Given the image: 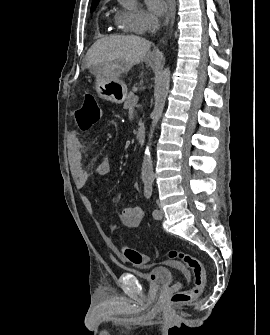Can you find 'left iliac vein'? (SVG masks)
I'll list each match as a JSON object with an SVG mask.
<instances>
[{
  "instance_id": "left-iliac-vein-1",
  "label": "left iliac vein",
  "mask_w": 270,
  "mask_h": 335,
  "mask_svg": "<svg viewBox=\"0 0 270 335\" xmlns=\"http://www.w3.org/2000/svg\"><path fill=\"white\" fill-rule=\"evenodd\" d=\"M164 216V211L162 210V208L159 205V209H158V216L155 217L156 219H162Z\"/></svg>"
}]
</instances>
